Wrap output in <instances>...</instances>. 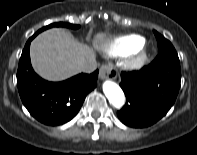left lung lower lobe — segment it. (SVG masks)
<instances>
[{"mask_svg": "<svg viewBox=\"0 0 197 155\" xmlns=\"http://www.w3.org/2000/svg\"><path fill=\"white\" fill-rule=\"evenodd\" d=\"M178 56H157L138 71L122 72L120 86L126 103L117 115L125 125L142 128L160 120L173 106L179 92Z\"/></svg>", "mask_w": 197, "mask_h": 155, "instance_id": "1", "label": "left lung lower lobe"}]
</instances>
